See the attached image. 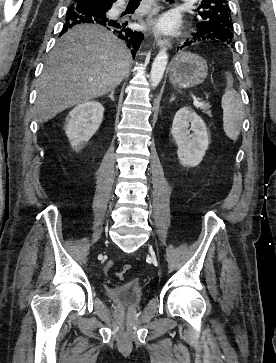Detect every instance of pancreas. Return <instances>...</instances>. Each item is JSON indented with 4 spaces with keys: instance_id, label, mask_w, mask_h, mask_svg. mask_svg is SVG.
<instances>
[{
    "instance_id": "pancreas-1",
    "label": "pancreas",
    "mask_w": 276,
    "mask_h": 363,
    "mask_svg": "<svg viewBox=\"0 0 276 363\" xmlns=\"http://www.w3.org/2000/svg\"><path fill=\"white\" fill-rule=\"evenodd\" d=\"M210 105L208 103H204L203 107H200V109L203 110V113L207 114L208 116H212L211 111L209 110Z\"/></svg>"
}]
</instances>
